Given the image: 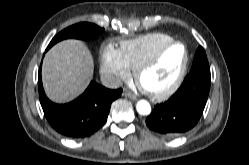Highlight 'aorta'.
Segmentation results:
<instances>
[{"mask_svg":"<svg viewBox=\"0 0 249 165\" xmlns=\"http://www.w3.org/2000/svg\"><path fill=\"white\" fill-rule=\"evenodd\" d=\"M136 109L140 115H149L151 113V106L146 100L138 101Z\"/></svg>","mask_w":249,"mask_h":165,"instance_id":"aorta-1","label":"aorta"}]
</instances>
